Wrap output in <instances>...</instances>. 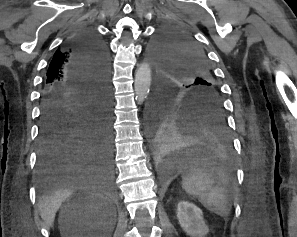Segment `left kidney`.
<instances>
[{
	"mask_svg": "<svg viewBox=\"0 0 297 237\" xmlns=\"http://www.w3.org/2000/svg\"><path fill=\"white\" fill-rule=\"evenodd\" d=\"M177 218L182 229L190 237H205L209 232L202 210L193 203L180 201L177 206Z\"/></svg>",
	"mask_w": 297,
	"mask_h": 237,
	"instance_id": "5707ae66",
	"label": "left kidney"
}]
</instances>
